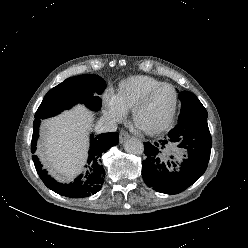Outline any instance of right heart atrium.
I'll return each mask as SVG.
<instances>
[{"instance_id":"obj_1","label":"right heart atrium","mask_w":248,"mask_h":248,"mask_svg":"<svg viewBox=\"0 0 248 248\" xmlns=\"http://www.w3.org/2000/svg\"><path fill=\"white\" fill-rule=\"evenodd\" d=\"M105 114L113 121L120 122L125 118L126 112L118 105L113 94L104 96Z\"/></svg>"}]
</instances>
